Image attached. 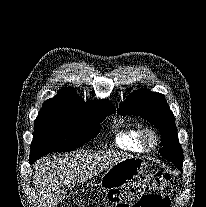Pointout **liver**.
<instances>
[{"label":"liver","instance_id":"1","mask_svg":"<svg viewBox=\"0 0 206 207\" xmlns=\"http://www.w3.org/2000/svg\"><path fill=\"white\" fill-rule=\"evenodd\" d=\"M131 158L115 152L76 151L45 157L36 162L33 182L43 207H57L65 192L93 178L115 163Z\"/></svg>","mask_w":206,"mask_h":207}]
</instances>
